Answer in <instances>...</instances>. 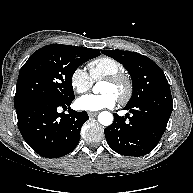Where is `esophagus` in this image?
Here are the masks:
<instances>
[{
    "label": "esophagus",
    "instance_id": "1",
    "mask_svg": "<svg viewBox=\"0 0 193 193\" xmlns=\"http://www.w3.org/2000/svg\"><path fill=\"white\" fill-rule=\"evenodd\" d=\"M88 115L90 118H94L98 115V112H89Z\"/></svg>",
    "mask_w": 193,
    "mask_h": 193
}]
</instances>
